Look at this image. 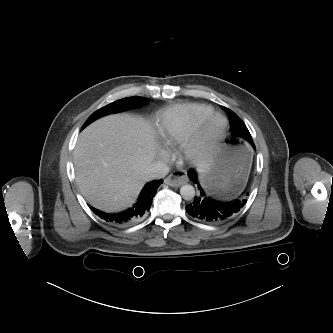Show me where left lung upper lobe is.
Instances as JSON below:
<instances>
[{"instance_id": "1", "label": "left lung upper lobe", "mask_w": 333, "mask_h": 333, "mask_svg": "<svg viewBox=\"0 0 333 333\" xmlns=\"http://www.w3.org/2000/svg\"><path fill=\"white\" fill-rule=\"evenodd\" d=\"M222 108L228 113L230 123H231V135L234 140H246L248 141L254 148V143L252 137L244 124V122L230 109L222 106Z\"/></svg>"}]
</instances>
